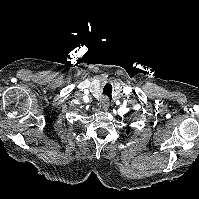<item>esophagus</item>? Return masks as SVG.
Here are the masks:
<instances>
[{"instance_id": "34e87169", "label": "esophagus", "mask_w": 199, "mask_h": 199, "mask_svg": "<svg viewBox=\"0 0 199 199\" xmlns=\"http://www.w3.org/2000/svg\"><path fill=\"white\" fill-rule=\"evenodd\" d=\"M109 106H110L109 100H108V99H104V100L102 101V108H103L104 110H108Z\"/></svg>"}]
</instances>
